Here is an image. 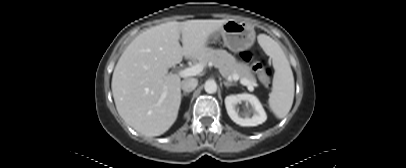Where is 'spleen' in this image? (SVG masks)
Returning a JSON list of instances; mask_svg holds the SVG:
<instances>
[{
	"label": "spleen",
	"instance_id": "1",
	"mask_svg": "<svg viewBox=\"0 0 406 168\" xmlns=\"http://www.w3.org/2000/svg\"><path fill=\"white\" fill-rule=\"evenodd\" d=\"M261 46L272 58L275 69L268 104L274 115L282 119L289 113L293 104L295 92L293 72L284 51L277 42L264 35L261 38Z\"/></svg>",
	"mask_w": 406,
	"mask_h": 168
}]
</instances>
